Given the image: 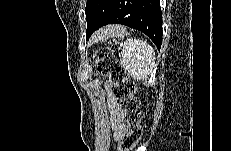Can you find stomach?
<instances>
[{
	"label": "stomach",
	"instance_id": "stomach-1",
	"mask_svg": "<svg viewBox=\"0 0 231 151\" xmlns=\"http://www.w3.org/2000/svg\"><path fill=\"white\" fill-rule=\"evenodd\" d=\"M111 44H112V45H113V44H114V45H117V44H118V41H117V40H114Z\"/></svg>",
	"mask_w": 231,
	"mask_h": 151
}]
</instances>
